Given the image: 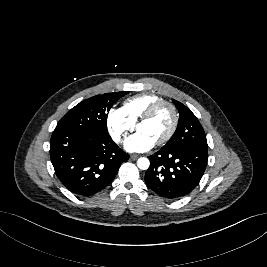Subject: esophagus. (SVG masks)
Returning <instances> with one entry per match:
<instances>
[{
    "mask_svg": "<svg viewBox=\"0 0 267 267\" xmlns=\"http://www.w3.org/2000/svg\"><path fill=\"white\" fill-rule=\"evenodd\" d=\"M138 157H139V155H137V154H132V155H130V158H131L132 160H136V159H138Z\"/></svg>",
    "mask_w": 267,
    "mask_h": 267,
    "instance_id": "obj_1",
    "label": "esophagus"
}]
</instances>
